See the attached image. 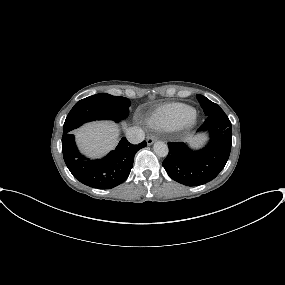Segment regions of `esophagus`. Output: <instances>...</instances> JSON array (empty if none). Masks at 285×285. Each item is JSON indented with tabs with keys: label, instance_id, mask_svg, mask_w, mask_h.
<instances>
[{
	"label": "esophagus",
	"instance_id": "34e87169",
	"mask_svg": "<svg viewBox=\"0 0 285 285\" xmlns=\"http://www.w3.org/2000/svg\"><path fill=\"white\" fill-rule=\"evenodd\" d=\"M156 137L155 136H149L148 138H147V144L148 145H152L153 143H154V141H156Z\"/></svg>",
	"mask_w": 285,
	"mask_h": 285
}]
</instances>
